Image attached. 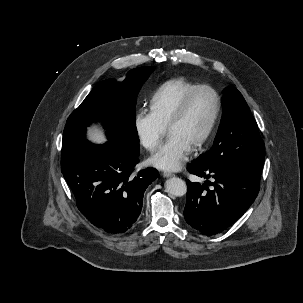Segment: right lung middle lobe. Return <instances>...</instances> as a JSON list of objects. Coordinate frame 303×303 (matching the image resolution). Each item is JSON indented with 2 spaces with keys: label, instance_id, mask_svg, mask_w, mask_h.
Here are the masks:
<instances>
[{
  "label": "right lung middle lobe",
  "instance_id": "dd1d6c3e",
  "mask_svg": "<svg viewBox=\"0 0 303 303\" xmlns=\"http://www.w3.org/2000/svg\"><path fill=\"white\" fill-rule=\"evenodd\" d=\"M150 72V67H140L130 70L123 82L114 79L99 82L67 119L62 151L85 140L86 128L99 121L106 128L110 142L130 155H139L135 127L136 97Z\"/></svg>",
  "mask_w": 303,
  "mask_h": 303
}]
</instances>
